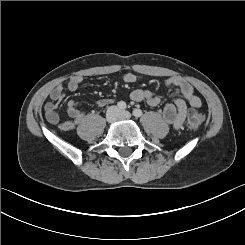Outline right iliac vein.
Here are the masks:
<instances>
[{
    "mask_svg": "<svg viewBox=\"0 0 245 245\" xmlns=\"http://www.w3.org/2000/svg\"><path fill=\"white\" fill-rule=\"evenodd\" d=\"M119 117V110L116 106H112L106 115V119L108 122H115Z\"/></svg>",
    "mask_w": 245,
    "mask_h": 245,
    "instance_id": "63e3f726",
    "label": "right iliac vein"
}]
</instances>
